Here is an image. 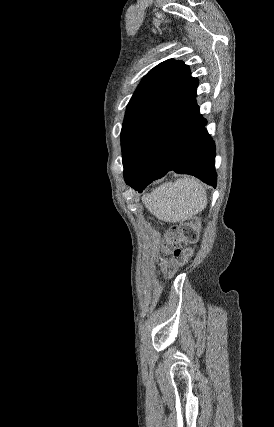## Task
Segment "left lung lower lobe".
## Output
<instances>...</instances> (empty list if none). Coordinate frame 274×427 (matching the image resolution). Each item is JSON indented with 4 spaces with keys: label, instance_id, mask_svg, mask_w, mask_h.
<instances>
[{
    "label": "left lung lower lobe",
    "instance_id": "0a47b994",
    "mask_svg": "<svg viewBox=\"0 0 274 427\" xmlns=\"http://www.w3.org/2000/svg\"><path fill=\"white\" fill-rule=\"evenodd\" d=\"M197 85L195 78L145 135L134 165L124 175L126 184L138 192L169 171L216 186L215 145L199 114Z\"/></svg>",
    "mask_w": 274,
    "mask_h": 427
}]
</instances>
